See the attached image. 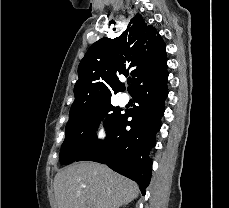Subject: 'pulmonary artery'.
Here are the masks:
<instances>
[{
  "mask_svg": "<svg viewBox=\"0 0 229 208\" xmlns=\"http://www.w3.org/2000/svg\"><path fill=\"white\" fill-rule=\"evenodd\" d=\"M129 101V95L128 94H122L119 96V103L121 105H126Z\"/></svg>",
  "mask_w": 229,
  "mask_h": 208,
  "instance_id": "obj_1",
  "label": "pulmonary artery"
}]
</instances>
